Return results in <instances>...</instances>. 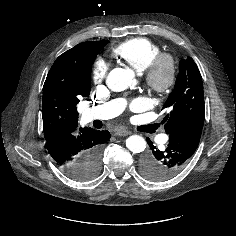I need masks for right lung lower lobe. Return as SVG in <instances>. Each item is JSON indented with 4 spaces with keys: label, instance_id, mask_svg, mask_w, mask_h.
<instances>
[{
    "label": "right lung lower lobe",
    "instance_id": "right-lung-lower-lobe-1",
    "mask_svg": "<svg viewBox=\"0 0 236 236\" xmlns=\"http://www.w3.org/2000/svg\"><path fill=\"white\" fill-rule=\"evenodd\" d=\"M110 139V133L85 128L75 135L46 141V148L58 166L72 179L78 180L81 168L91 153L99 154L102 144ZM75 174V178L72 175Z\"/></svg>",
    "mask_w": 236,
    "mask_h": 236
}]
</instances>
